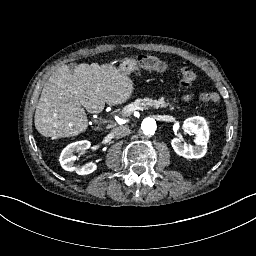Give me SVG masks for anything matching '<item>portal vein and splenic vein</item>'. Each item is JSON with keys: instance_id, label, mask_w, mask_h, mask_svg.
<instances>
[{"instance_id": "18ae733b", "label": "portal vein and splenic vein", "mask_w": 256, "mask_h": 256, "mask_svg": "<svg viewBox=\"0 0 256 256\" xmlns=\"http://www.w3.org/2000/svg\"><path fill=\"white\" fill-rule=\"evenodd\" d=\"M139 109V110H142L143 109V106L142 105H137V104H134L133 106H130L129 109L127 110V112H131L133 113V111H135L136 109ZM119 118V117H118Z\"/></svg>"}]
</instances>
